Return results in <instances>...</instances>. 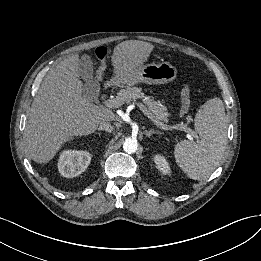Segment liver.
Here are the masks:
<instances>
[{"instance_id": "obj_1", "label": "liver", "mask_w": 261, "mask_h": 261, "mask_svg": "<svg viewBox=\"0 0 261 261\" xmlns=\"http://www.w3.org/2000/svg\"><path fill=\"white\" fill-rule=\"evenodd\" d=\"M148 42L127 40L112 54L113 75L124 83L143 66L153 51ZM79 55H71L50 69L31 105L25 127L30 157L37 163L49 162L74 136L93 133L101 122L115 119L108 108L95 105L82 96Z\"/></svg>"}]
</instances>
